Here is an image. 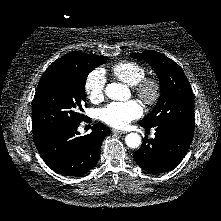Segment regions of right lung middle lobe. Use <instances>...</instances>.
I'll return each mask as SVG.
<instances>
[{"label": "right lung middle lobe", "mask_w": 221, "mask_h": 221, "mask_svg": "<svg viewBox=\"0 0 221 221\" xmlns=\"http://www.w3.org/2000/svg\"><path fill=\"white\" fill-rule=\"evenodd\" d=\"M97 56L80 61L52 63L43 74L32 103L33 138L85 120V82L88 74L107 61ZM86 105V104H85Z\"/></svg>", "instance_id": "obj_1"}]
</instances>
